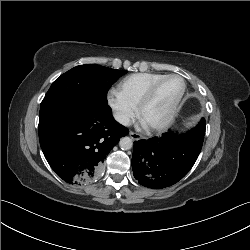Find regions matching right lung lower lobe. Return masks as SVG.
Wrapping results in <instances>:
<instances>
[{
    "mask_svg": "<svg viewBox=\"0 0 250 250\" xmlns=\"http://www.w3.org/2000/svg\"><path fill=\"white\" fill-rule=\"evenodd\" d=\"M44 156L64 181L90 183L101 172L106 155L129 133L104 103L77 99L39 116Z\"/></svg>",
    "mask_w": 250,
    "mask_h": 250,
    "instance_id": "98d812e1",
    "label": "right lung lower lobe"
}]
</instances>
